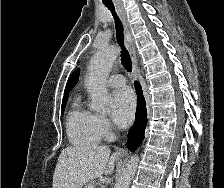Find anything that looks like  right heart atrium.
<instances>
[{"mask_svg":"<svg viewBox=\"0 0 224 188\" xmlns=\"http://www.w3.org/2000/svg\"><path fill=\"white\" fill-rule=\"evenodd\" d=\"M96 125H97V128H98L101 136L107 137V136L110 135V133H111V124H110L109 120L106 117L100 116V115H96Z\"/></svg>","mask_w":224,"mask_h":188,"instance_id":"d8ad5b80","label":"right heart atrium"}]
</instances>
